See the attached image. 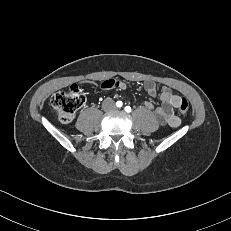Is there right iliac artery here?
Returning a JSON list of instances; mask_svg holds the SVG:
<instances>
[{
	"instance_id": "right-iliac-artery-1",
	"label": "right iliac artery",
	"mask_w": 231,
	"mask_h": 231,
	"mask_svg": "<svg viewBox=\"0 0 231 231\" xmlns=\"http://www.w3.org/2000/svg\"><path fill=\"white\" fill-rule=\"evenodd\" d=\"M116 105H117V107H121L122 106V102L121 101H117Z\"/></svg>"
}]
</instances>
